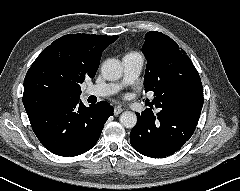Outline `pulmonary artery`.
<instances>
[{
  "label": "pulmonary artery",
  "instance_id": "1",
  "mask_svg": "<svg viewBox=\"0 0 240 191\" xmlns=\"http://www.w3.org/2000/svg\"><path fill=\"white\" fill-rule=\"evenodd\" d=\"M144 59L138 52H130L124 55L122 64L124 68L123 78L120 82H111L92 85L87 89V94L96 97H107L117 93L123 86L134 82L141 73Z\"/></svg>",
  "mask_w": 240,
  "mask_h": 191
}]
</instances>
